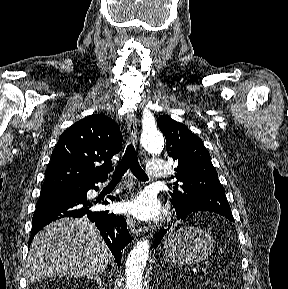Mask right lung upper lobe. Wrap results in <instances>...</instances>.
I'll use <instances>...</instances> for the list:
<instances>
[{"mask_svg":"<svg viewBox=\"0 0 288 289\" xmlns=\"http://www.w3.org/2000/svg\"><path fill=\"white\" fill-rule=\"evenodd\" d=\"M122 148L119 126L109 117L93 114L66 129L52 152L41 190H63L105 180L111 158ZM97 162H104L96 166Z\"/></svg>","mask_w":288,"mask_h":289,"instance_id":"obj_1","label":"right lung upper lobe"}]
</instances>
